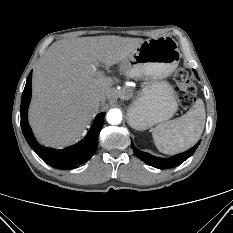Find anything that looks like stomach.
<instances>
[{
    "instance_id": "stomach-1",
    "label": "stomach",
    "mask_w": 233,
    "mask_h": 233,
    "mask_svg": "<svg viewBox=\"0 0 233 233\" xmlns=\"http://www.w3.org/2000/svg\"><path fill=\"white\" fill-rule=\"evenodd\" d=\"M181 54L177 42L167 36L144 40L122 61V72L147 82L127 111L128 124L146 130L169 120L178 109L173 87L163 79L177 68Z\"/></svg>"
}]
</instances>
